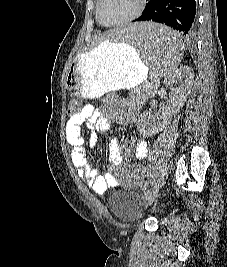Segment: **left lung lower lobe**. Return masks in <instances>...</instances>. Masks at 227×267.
Here are the masks:
<instances>
[{
	"instance_id": "obj_1",
	"label": "left lung lower lobe",
	"mask_w": 227,
	"mask_h": 267,
	"mask_svg": "<svg viewBox=\"0 0 227 267\" xmlns=\"http://www.w3.org/2000/svg\"><path fill=\"white\" fill-rule=\"evenodd\" d=\"M197 0H148L143 14L134 20L162 23L191 37L196 31Z\"/></svg>"
}]
</instances>
